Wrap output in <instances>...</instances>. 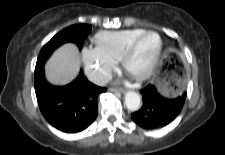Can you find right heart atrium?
Wrapping results in <instances>:
<instances>
[{"label": "right heart atrium", "mask_w": 225, "mask_h": 155, "mask_svg": "<svg viewBox=\"0 0 225 155\" xmlns=\"http://www.w3.org/2000/svg\"><path fill=\"white\" fill-rule=\"evenodd\" d=\"M82 60L87 76L96 83L105 82L114 70L116 62L100 54L95 48L86 47Z\"/></svg>", "instance_id": "right-heart-atrium-1"}]
</instances>
